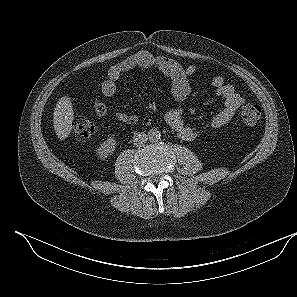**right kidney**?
<instances>
[{
    "label": "right kidney",
    "instance_id": "1",
    "mask_svg": "<svg viewBox=\"0 0 297 297\" xmlns=\"http://www.w3.org/2000/svg\"><path fill=\"white\" fill-rule=\"evenodd\" d=\"M116 148V139L114 137H109L107 140L102 142L97 149V156L101 160H105L107 157L111 156Z\"/></svg>",
    "mask_w": 297,
    "mask_h": 297
}]
</instances>
